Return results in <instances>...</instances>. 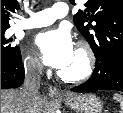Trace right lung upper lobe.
I'll use <instances>...</instances> for the list:
<instances>
[{
  "label": "right lung upper lobe",
  "mask_w": 123,
  "mask_h": 113,
  "mask_svg": "<svg viewBox=\"0 0 123 113\" xmlns=\"http://www.w3.org/2000/svg\"><path fill=\"white\" fill-rule=\"evenodd\" d=\"M16 0H1V29L9 28V15L19 9Z\"/></svg>",
  "instance_id": "right-lung-upper-lobe-1"
}]
</instances>
